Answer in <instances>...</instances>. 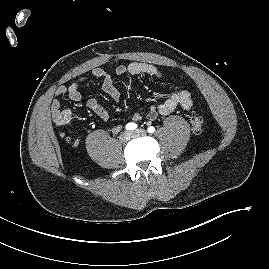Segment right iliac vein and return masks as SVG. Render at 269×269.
I'll list each match as a JSON object with an SVG mask.
<instances>
[{
  "label": "right iliac vein",
  "instance_id": "right-iliac-vein-1",
  "mask_svg": "<svg viewBox=\"0 0 269 269\" xmlns=\"http://www.w3.org/2000/svg\"><path fill=\"white\" fill-rule=\"evenodd\" d=\"M132 138V132L130 131H125L120 135V140L122 142H127Z\"/></svg>",
  "mask_w": 269,
  "mask_h": 269
}]
</instances>
